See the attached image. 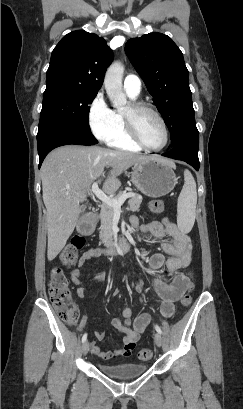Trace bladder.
<instances>
[{
	"label": "bladder",
	"mask_w": 243,
	"mask_h": 409,
	"mask_svg": "<svg viewBox=\"0 0 243 409\" xmlns=\"http://www.w3.org/2000/svg\"><path fill=\"white\" fill-rule=\"evenodd\" d=\"M100 372L107 377L117 380H129L143 375L147 371V364L126 362L120 364H97Z\"/></svg>",
	"instance_id": "obj_1"
}]
</instances>
